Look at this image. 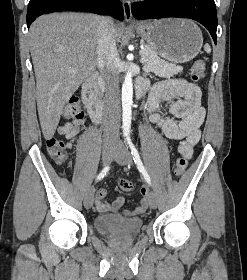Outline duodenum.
<instances>
[{
    "label": "duodenum",
    "mask_w": 247,
    "mask_h": 280,
    "mask_svg": "<svg viewBox=\"0 0 247 280\" xmlns=\"http://www.w3.org/2000/svg\"><path fill=\"white\" fill-rule=\"evenodd\" d=\"M99 75H91L83 84L82 99L92 120L98 123L102 115V102L99 95Z\"/></svg>",
    "instance_id": "obj_1"
}]
</instances>
